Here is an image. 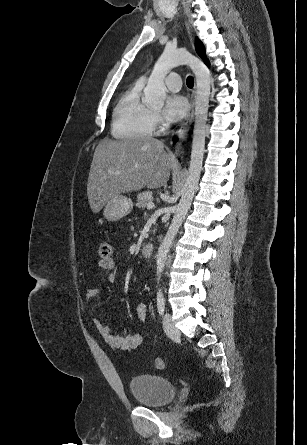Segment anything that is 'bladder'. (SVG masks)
I'll list each match as a JSON object with an SVG mask.
<instances>
[{
	"instance_id": "31cf9c89",
	"label": "bladder",
	"mask_w": 307,
	"mask_h": 445,
	"mask_svg": "<svg viewBox=\"0 0 307 445\" xmlns=\"http://www.w3.org/2000/svg\"><path fill=\"white\" fill-rule=\"evenodd\" d=\"M134 400L143 407L160 408L172 401L176 394L175 384L159 375L141 374L129 382Z\"/></svg>"
}]
</instances>
